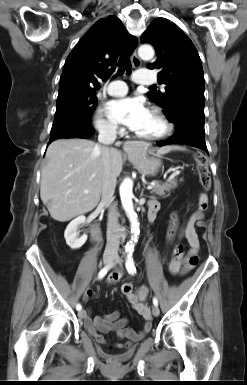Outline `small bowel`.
Listing matches in <instances>:
<instances>
[{"label": "small bowel", "instance_id": "1", "mask_svg": "<svg viewBox=\"0 0 247 385\" xmlns=\"http://www.w3.org/2000/svg\"><path fill=\"white\" fill-rule=\"evenodd\" d=\"M150 210L156 211V214L159 210V203L155 200H150L148 203V213ZM203 217V211L199 209L188 215L181 226H179V219L177 214H173L171 217V224L168 231V240H173L175 236L185 237L189 243L190 249L188 256L183 261L172 260L169 263V270L173 275H184L192 270L196 264H189V259L193 256L197 257V252L199 249V240L195 231V224H201ZM122 272L115 271L109 274L107 282L109 284L117 283L122 278ZM123 285H128L131 292L125 294L127 300L131 306L142 316L144 324L142 329L135 331L128 326V319L125 317H120L118 311L96 316L91 318L90 315H86L84 319V325L88 333L95 337L96 341L99 344H106V339L103 334L108 332H115L119 338L127 339L128 341L123 344H116L117 347L127 348L131 345L132 342L141 340L151 329L152 327V316L150 307L148 305V288L140 287L136 292H133V286L130 283H125ZM94 291L87 289L84 293L83 300L88 301L94 296Z\"/></svg>", "mask_w": 247, "mask_h": 385}]
</instances>
